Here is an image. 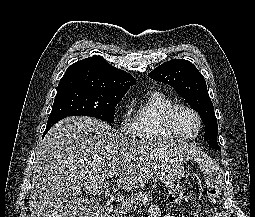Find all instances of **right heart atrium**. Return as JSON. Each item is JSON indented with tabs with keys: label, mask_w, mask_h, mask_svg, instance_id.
I'll use <instances>...</instances> for the list:
<instances>
[{
	"label": "right heart atrium",
	"mask_w": 255,
	"mask_h": 217,
	"mask_svg": "<svg viewBox=\"0 0 255 217\" xmlns=\"http://www.w3.org/2000/svg\"><path fill=\"white\" fill-rule=\"evenodd\" d=\"M120 131L124 135H133L134 134V122L131 120L129 116V111L124 110L120 116Z\"/></svg>",
	"instance_id": "1"
}]
</instances>
